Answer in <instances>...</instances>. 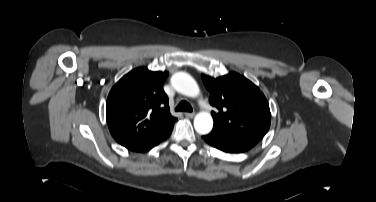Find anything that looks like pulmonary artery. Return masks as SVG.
I'll use <instances>...</instances> for the list:
<instances>
[{"label": "pulmonary artery", "instance_id": "pulmonary-artery-1", "mask_svg": "<svg viewBox=\"0 0 376 202\" xmlns=\"http://www.w3.org/2000/svg\"><path fill=\"white\" fill-rule=\"evenodd\" d=\"M200 105H201V107H203L204 109H207V108H208V106H207V104H206V102H205L204 100H200Z\"/></svg>", "mask_w": 376, "mask_h": 202}]
</instances>
